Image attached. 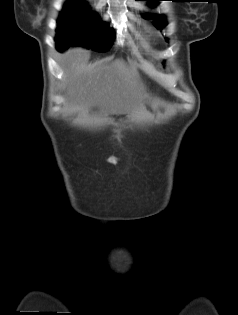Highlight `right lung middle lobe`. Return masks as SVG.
Returning <instances> with one entry per match:
<instances>
[{
	"label": "right lung middle lobe",
	"mask_w": 238,
	"mask_h": 315,
	"mask_svg": "<svg viewBox=\"0 0 238 315\" xmlns=\"http://www.w3.org/2000/svg\"><path fill=\"white\" fill-rule=\"evenodd\" d=\"M56 48L58 51L72 45H83L98 52L112 45V30L100 22L95 12H90L85 2H66L57 21Z\"/></svg>",
	"instance_id": "dd1d6c3e"
}]
</instances>
